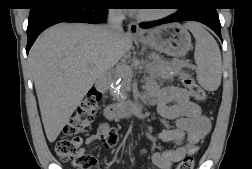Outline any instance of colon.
<instances>
[{
  "mask_svg": "<svg viewBox=\"0 0 252 169\" xmlns=\"http://www.w3.org/2000/svg\"><path fill=\"white\" fill-rule=\"evenodd\" d=\"M183 84L197 101L206 99L205 91L192 78H184ZM100 98L101 93L98 90L90 89L65 125L63 136L55 143L54 151L59 160L69 163L74 169H91L95 165V158L82 151V138L79 135L90 129ZM117 140L116 131L110 129L107 141L114 146ZM193 167L194 156L189 154L178 164L177 169Z\"/></svg>",
  "mask_w": 252,
  "mask_h": 169,
  "instance_id": "5ec220e1",
  "label": "colon"
}]
</instances>
